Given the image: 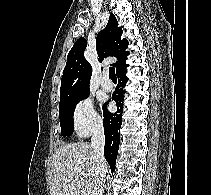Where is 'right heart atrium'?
<instances>
[{
	"label": "right heart atrium",
	"instance_id": "d8ad5b80",
	"mask_svg": "<svg viewBox=\"0 0 211 195\" xmlns=\"http://www.w3.org/2000/svg\"><path fill=\"white\" fill-rule=\"evenodd\" d=\"M73 125L77 134L88 136L102 127V119L94 107L92 99L78 102L73 112Z\"/></svg>",
	"mask_w": 211,
	"mask_h": 195
}]
</instances>
